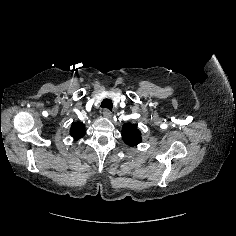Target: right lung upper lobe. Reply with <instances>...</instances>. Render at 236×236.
Instances as JSON below:
<instances>
[{"instance_id": "obj_1", "label": "right lung upper lobe", "mask_w": 236, "mask_h": 236, "mask_svg": "<svg viewBox=\"0 0 236 236\" xmlns=\"http://www.w3.org/2000/svg\"><path fill=\"white\" fill-rule=\"evenodd\" d=\"M85 133H86V130H85L84 124L78 123V122L72 124L71 129H70V134L75 140H78L81 137H83Z\"/></svg>"}]
</instances>
